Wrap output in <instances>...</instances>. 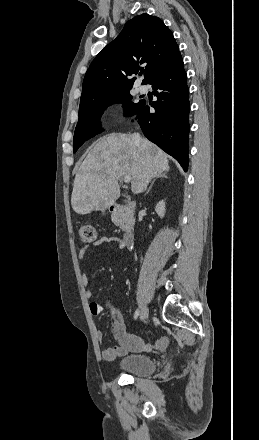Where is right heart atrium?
<instances>
[{
    "instance_id": "right-heart-atrium-1",
    "label": "right heart atrium",
    "mask_w": 259,
    "mask_h": 440,
    "mask_svg": "<svg viewBox=\"0 0 259 440\" xmlns=\"http://www.w3.org/2000/svg\"><path fill=\"white\" fill-rule=\"evenodd\" d=\"M112 112L114 117H118L122 112V105L120 103H116L112 106Z\"/></svg>"
}]
</instances>
